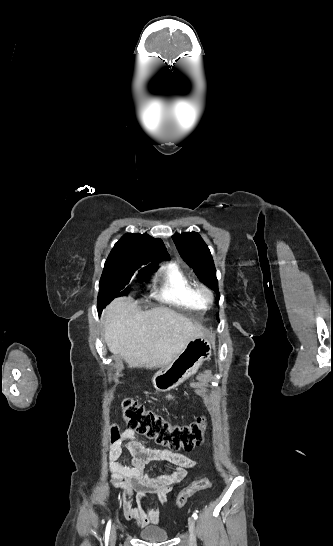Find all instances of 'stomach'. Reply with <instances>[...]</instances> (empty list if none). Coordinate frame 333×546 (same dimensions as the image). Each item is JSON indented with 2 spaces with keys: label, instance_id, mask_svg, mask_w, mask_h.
I'll return each instance as SVG.
<instances>
[{
  "label": "stomach",
  "instance_id": "obj_1",
  "mask_svg": "<svg viewBox=\"0 0 333 546\" xmlns=\"http://www.w3.org/2000/svg\"><path fill=\"white\" fill-rule=\"evenodd\" d=\"M212 344L205 336L190 340L185 348L153 377L154 387L159 391H169L195 374L202 363L210 359Z\"/></svg>",
  "mask_w": 333,
  "mask_h": 546
}]
</instances>
